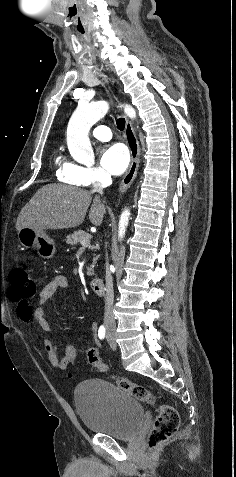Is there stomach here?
I'll return each instance as SVG.
<instances>
[{"mask_svg": "<svg viewBox=\"0 0 236 477\" xmlns=\"http://www.w3.org/2000/svg\"><path fill=\"white\" fill-rule=\"evenodd\" d=\"M18 240L22 247L37 250L43 258H52L56 253V244L45 231L37 232L26 227L18 231Z\"/></svg>", "mask_w": 236, "mask_h": 477, "instance_id": "obj_1", "label": "stomach"}]
</instances>
